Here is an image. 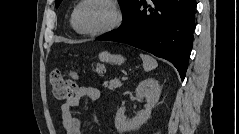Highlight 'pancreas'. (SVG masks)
<instances>
[{
    "instance_id": "pancreas-1",
    "label": "pancreas",
    "mask_w": 239,
    "mask_h": 134,
    "mask_svg": "<svg viewBox=\"0 0 239 134\" xmlns=\"http://www.w3.org/2000/svg\"><path fill=\"white\" fill-rule=\"evenodd\" d=\"M122 83L119 79L110 80L109 82H104L103 87L108 88L109 90H114L116 88H120Z\"/></svg>"
}]
</instances>
